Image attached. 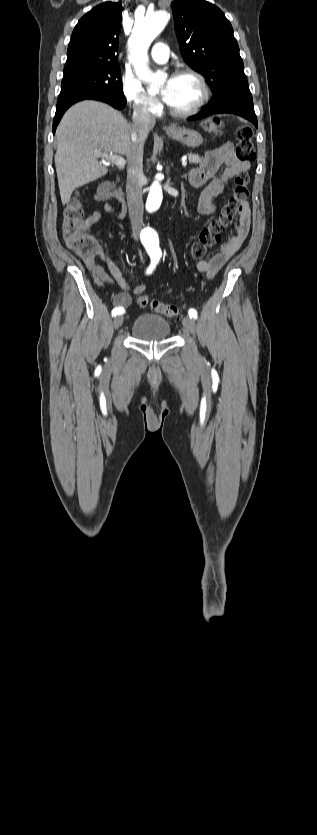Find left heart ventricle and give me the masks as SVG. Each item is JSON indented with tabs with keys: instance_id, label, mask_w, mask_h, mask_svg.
Listing matches in <instances>:
<instances>
[{
	"instance_id": "1",
	"label": "left heart ventricle",
	"mask_w": 317,
	"mask_h": 835,
	"mask_svg": "<svg viewBox=\"0 0 317 835\" xmlns=\"http://www.w3.org/2000/svg\"><path fill=\"white\" fill-rule=\"evenodd\" d=\"M170 84L167 103L176 110L191 108L200 96V88L196 80L190 76L174 77L166 80L162 86L163 94Z\"/></svg>"
}]
</instances>
